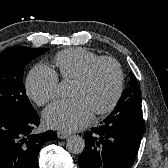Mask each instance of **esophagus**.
<instances>
[{
    "mask_svg": "<svg viewBox=\"0 0 168 168\" xmlns=\"http://www.w3.org/2000/svg\"><path fill=\"white\" fill-rule=\"evenodd\" d=\"M57 136L59 139H66L70 136V134L67 132L59 131V132H57Z\"/></svg>",
    "mask_w": 168,
    "mask_h": 168,
    "instance_id": "esophagus-1",
    "label": "esophagus"
}]
</instances>
